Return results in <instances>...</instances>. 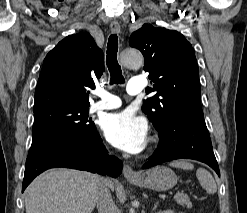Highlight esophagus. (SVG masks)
<instances>
[{"label":"esophagus","instance_id":"esophagus-1","mask_svg":"<svg viewBox=\"0 0 247 213\" xmlns=\"http://www.w3.org/2000/svg\"><path fill=\"white\" fill-rule=\"evenodd\" d=\"M110 28L113 33H117V34L120 33V25L118 22H112L110 24ZM123 174L124 177L127 179L137 178L139 176L138 173L133 171V169L128 164L124 165Z\"/></svg>","mask_w":247,"mask_h":213}]
</instances>
